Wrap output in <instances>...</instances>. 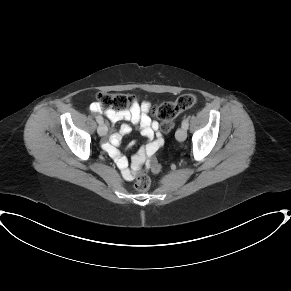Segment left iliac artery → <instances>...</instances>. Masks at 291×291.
Instances as JSON below:
<instances>
[{"mask_svg":"<svg viewBox=\"0 0 291 291\" xmlns=\"http://www.w3.org/2000/svg\"><path fill=\"white\" fill-rule=\"evenodd\" d=\"M188 126H189V123H188V119H184L183 121H182V128H184V129H188Z\"/></svg>","mask_w":291,"mask_h":291,"instance_id":"left-iliac-artery-1","label":"left iliac artery"}]
</instances>
